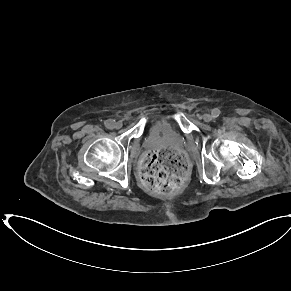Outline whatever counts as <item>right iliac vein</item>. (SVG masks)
<instances>
[{
  "instance_id": "obj_1",
  "label": "right iliac vein",
  "mask_w": 291,
  "mask_h": 291,
  "mask_svg": "<svg viewBox=\"0 0 291 291\" xmlns=\"http://www.w3.org/2000/svg\"><path fill=\"white\" fill-rule=\"evenodd\" d=\"M122 122L121 121H118V122H115L114 123V127L116 128V129H120L121 127H122Z\"/></svg>"
}]
</instances>
